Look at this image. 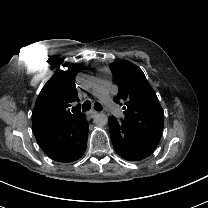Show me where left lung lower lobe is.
I'll return each mask as SVG.
<instances>
[{
  "mask_svg": "<svg viewBox=\"0 0 208 208\" xmlns=\"http://www.w3.org/2000/svg\"><path fill=\"white\" fill-rule=\"evenodd\" d=\"M113 147L117 154L127 161H141L154 152L157 144L139 134L126 122L115 117L108 119Z\"/></svg>",
  "mask_w": 208,
  "mask_h": 208,
  "instance_id": "left-lung-lower-lobe-1",
  "label": "left lung lower lobe"
}]
</instances>
